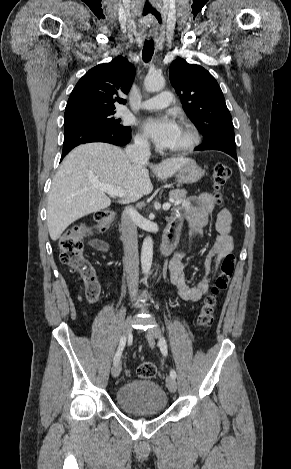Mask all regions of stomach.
Instances as JSON below:
<instances>
[{"instance_id":"1","label":"stomach","mask_w":291,"mask_h":469,"mask_svg":"<svg viewBox=\"0 0 291 469\" xmlns=\"http://www.w3.org/2000/svg\"><path fill=\"white\" fill-rule=\"evenodd\" d=\"M204 175V171L196 162L191 161L184 164L176 174V178L180 183L192 184L199 181Z\"/></svg>"}]
</instances>
